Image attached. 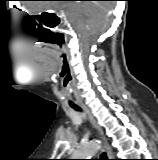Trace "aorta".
<instances>
[{
	"label": "aorta",
	"instance_id": "obj_1",
	"mask_svg": "<svg viewBox=\"0 0 158 160\" xmlns=\"http://www.w3.org/2000/svg\"><path fill=\"white\" fill-rule=\"evenodd\" d=\"M99 147L100 144L97 141L83 144L74 152L72 159H91Z\"/></svg>",
	"mask_w": 158,
	"mask_h": 160
}]
</instances>
